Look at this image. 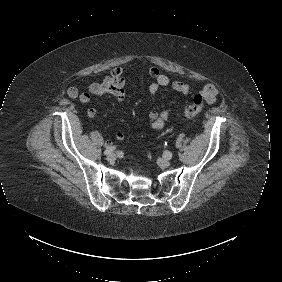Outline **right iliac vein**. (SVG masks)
Instances as JSON below:
<instances>
[{
  "label": "right iliac vein",
  "mask_w": 282,
  "mask_h": 282,
  "mask_svg": "<svg viewBox=\"0 0 282 282\" xmlns=\"http://www.w3.org/2000/svg\"><path fill=\"white\" fill-rule=\"evenodd\" d=\"M116 159V155L114 153H110L108 156H107V160L108 161H114Z\"/></svg>",
  "instance_id": "obj_1"
}]
</instances>
